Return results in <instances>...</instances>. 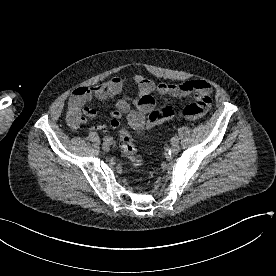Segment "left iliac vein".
<instances>
[{
    "instance_id": "obj_1",
    "label": "left iliac vein",
    "mask_w": 276,
    "mask_h": 276,
    "mask_svg": "<svg viewBox=\"0 0 276 276\" xmlns=\"http://www.w3.org/2000/svg\"><path fill=\"white\" fill-rule=\"evenodd\" d=\"M170 150L172 154H177L180 150L178 143H173Z\"/></svg>"
}]
</instances>
